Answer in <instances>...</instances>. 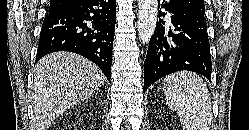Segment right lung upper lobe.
<instances>
[{"label":"right lung upper lobe","instance_id":"obj_1","mask_svg":"<svg viewBox=\"0 0 249 130\" xmlns=\"http://www.w3.org/2000/svg\"><path fill=\"white\" fill-rule=\"evenodd\" d=\"M77 1L78 0H50L48 14L62 11L63 9L70 7Z\"/></svg>","mask_w":249,"mask_h":130}]
</instances>
